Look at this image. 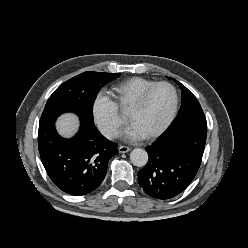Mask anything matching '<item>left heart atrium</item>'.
<instances>
[{"mask_svg":"<svg viewBox=\"0 0 248 248\" xmlns=\"http://www.w3.org/2000/svg\"><path fill=\"white\" fill-rule=\"evenodd\" d=\"M125 139L129 141L139 140L144 137V135L133 125H131L124 134Z\"/></svg>","mask_w":248,"mask_h":248,"instance_id":"1","label":"left heart atrium"}]
</instances>
